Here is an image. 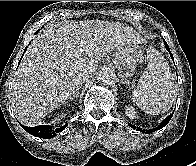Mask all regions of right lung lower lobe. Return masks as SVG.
Wrapping results in <instances>:
<instances>
[{
	"label": "right lung lower lobe",
	"instance_id": "1",
	"mask_svg": "<svg viewBox=\"0 0 196 166\" xmlns=\"http://www.w3.org/2000/svg\"><path fill=\"white\" fill-rule=\"evenodd\" d=\"M67 125L68 124L66 123L65 125L59 128H53V126H49V125H39L35 127H27L23 125L21 126L24 128V130H26L28 133H30L33 136H38L44 139H50L54 137L57 133L64 130L67 127Z\"/></svg>",
	"mask_w": 196,
	"mask_h": 166
}]
</instances>
